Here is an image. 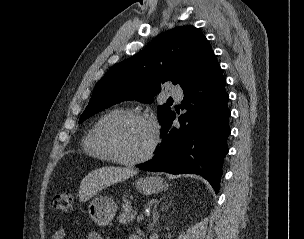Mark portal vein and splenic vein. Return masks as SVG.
I'll use <instances>...</instances> for the list:
<instances>
[{"label":"portal vein and splenic vein","mask_w":304,"mask_h":239,"mask_svg":"<svg viewBox=\"0 0 304 239\" xmlns=\"http://www.w3.org/2000/svg\"><path fill=\"white\" fill-rule=\"evenodd\" d=\"M143 219H144L143 214H139V215L137 216V221H142Z\"/></svg>","instance_id":"18ae733b"}]
</instances>
